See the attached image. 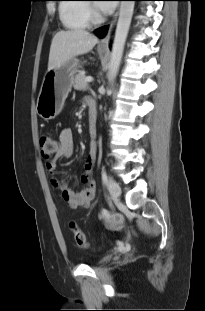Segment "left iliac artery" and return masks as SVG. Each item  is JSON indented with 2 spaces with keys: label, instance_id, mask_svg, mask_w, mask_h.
Returning a JSON list of instances; mask_svg holds the SVG:
<instances>
[{
  "label": "left iliac artery",
  "instance_id": "44dca946",
  "mask_svg": "<svg viewBox=\"0 0 205 311\" xmlns=\"http://www.w3.org/2000/svg\"><path fill=\"white\" fill-rule=\"evenodd\" d=\"M102 181H103L104 184H106L107 181H108L107 173H106V171L104 169L102 170Z\"/></svg>",
  "mask_w": 205,
  "mask_h": 311
}]
</instances>
